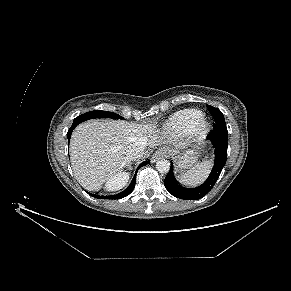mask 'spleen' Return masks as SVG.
I'll use <instances>...</instances> for the list:
<instances>
[{"mask_svg":"<svg viewBox=\"0 0 291 291\" xmlns=\"http://www.w3.org/2000/svg\"><path fill=\"white\" fill-rule=\"evenodd\" d=\"M212 165L210 159L195 165L179 178V182L189 187L200 185L209 175Z\"/></svg>","mask_w":291,"mask_h":291,"instance_id":"spleen-1","label":"spleen"}]
</instances>
